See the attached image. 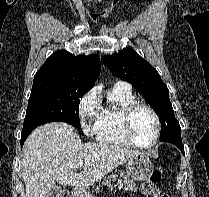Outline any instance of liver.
<instances>
[{
    "instance_id": "6515ba94",
    "label": "liver",
    "mask_w": 209,
    "mask_h": 197,
    "mask_svg": "<svg viewBox=\"0 0 209 197\" xmlns=\"http://www.w3.org/2000/svg\"><path fill=\"white\" fill-rule=\"evenodd\" d=\"M141 152L107 143H82L64 122L36 128L27 138L21 160L26 197H48L55 183L88 188ZM83 167L76 172L79 162Z\"/></svg>"
}]
</instances>
